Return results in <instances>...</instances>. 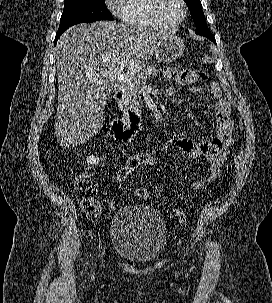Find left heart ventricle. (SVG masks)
Returning <instances> with one entry per match:
<instances>
[{
  "mask_svg": "<svg viewBox=\"0 0 272 303\" xmlns=\"http://www.w3.org/2000/svg\"><path fill=\"white\" fill-rule=\"evenodd\" d=\"M159 14L164 22L173 24L181 18L182 7L178 0H161Z\"/></svg>",
  "mask_w": 272,
  "mask_h": 303,
  "instance_id": "1",
  "label": "left heart ventricle"
}]
</instances>
